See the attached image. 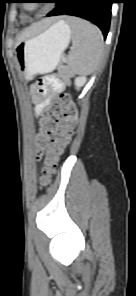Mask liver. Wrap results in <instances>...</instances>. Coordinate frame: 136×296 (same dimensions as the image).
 <instances>
[{
    "mask_svg": "<svg viewBox=\"0 0 136 296\" xmlns=\"http://www.w3.org/2000/svg\"><path fill=\"white\" fill-rule=\"evenodd\" d=\"M51 22L50 19H46V20H43L39 23H36L28 28H26L20 35L19 39L20 40H23L37 32H39L41 29H43L45 26H47L49 23Z\"/></svg>",
    "mask_w": 136,
    "mask_h": 296,
    "instance_id": "1",
    "label": "liver"
}]
</instances>
